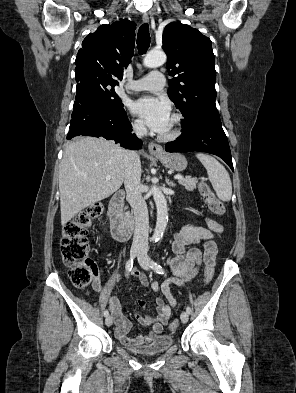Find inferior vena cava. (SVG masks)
Listing matches in <instances>:
<instances>
[{"label": "inferior vena cava", "mask_w": 296, "mask_h": 393, "mask_svg": "<svg viewBox=\"0 0 296 393\" xmlns=\"http://www.w3.org/2000/svg\"><path fill=\"white\" fill-rule=\"evenodd\" d=\"M134 133L142 138L147 129L143 123L133 125ZM125 171L124 185L127 193V200L134 211L135 231L133 246L148 248L149 217L145 200L141 193V164L136 151H125L123 157Z\"/></svg>", "instance_id": "1"}]
</instances>
